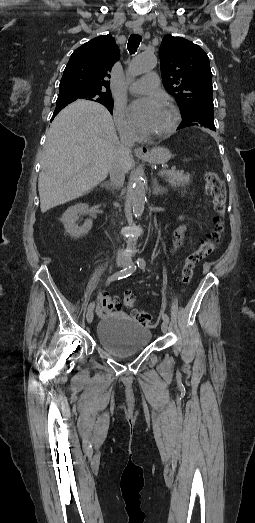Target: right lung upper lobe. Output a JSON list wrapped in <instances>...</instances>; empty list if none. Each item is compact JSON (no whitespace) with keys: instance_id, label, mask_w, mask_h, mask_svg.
<instances>
[{"instance_id":"1","label":"right lung upper lobe","mask_w":255,"mask_h":523,"mask_svg":"<svg viewBox=\"0 0 255 523\" xmlns=\"http://www.w3.org/2000/svg\"><path fill=\"white\" fill-rule=\"evenodd\" d=\"M120 57L111 35H101L76 49L71 55L59 85L62 90H83L111 94L109 73ZM69 103L56 102L52 119ZM111 113L113 101L102 103Z\"/></svg>"}]
</instances>
